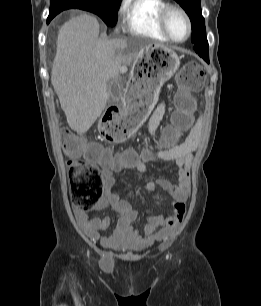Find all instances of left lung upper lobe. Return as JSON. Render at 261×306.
<instances>
[{"label": "left lung upper lobe", "instance_id": "1", "mask_svg": "<svg viewBox=\"0 0 261 306\" xmlns=\"http://www.w3.org/2000/svg\"><path fill=\"white\" fill-rule=\"evenodd\" d=\"M188 14L192 24L191 41L194 49L209 63L208 41L206 38L205 21L201 14V0H175Z\"/></svg>", "mask_w": 261, "mask_h": 306}]
</instances>
